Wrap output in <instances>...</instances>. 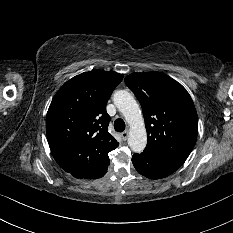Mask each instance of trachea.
<instances>
[{
	"mask_svg": "<svg viewBox=\"0 0 233 233\" xmlns=\"http://www.w3.org/2000/svg\"><path fill=\"white\" fill-rule=\"evenodd\" d=\"M114 129L117 132H123L125 130V122L121 118L116 119L114 122Z\"/></svg>",
	"mask_w": 233,
	"mask_h": 233,
	"instance_id": "trachea-1",
	"label": "trachea"
}]
</instances>
